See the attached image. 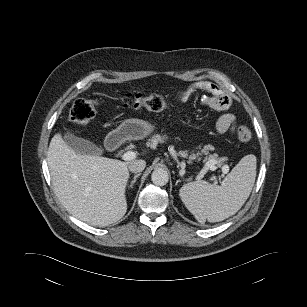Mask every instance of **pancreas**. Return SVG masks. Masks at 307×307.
Returning <instances> with one entry per match:
<instances>
[{"label": "pancreas", "mask_w": 307, "mask_h": 307, "mask_svg": "<svg viewBox=\"0 0 307 307\" xmlns=\"http://www.w3.org/2000/svg\"><path fill=\"white\" fill-rule=\"evenodd\" d=\"M166 139H167L166 136H161L159 134H156V135H153L152 138L149 140L150 142H148V145H150L152 147H155L158 143H164ZM211 149H212V147L210 145H206L201 150V152H197L196 154L192 153L191 155L188 156L186 151H179L178 155L180 157L188 158L189 159L188 163H191L192 160H195V159L201 160V156L204 154V155H207L204 158L205 162L208 163L210 161H216L215 165L216 164L218 166L223 165L224 162L227 160V158H225V157L218 158L217 154H210V155H208L209 150H211Z\"/></svg>", "instance_id": "cf45deb5"}]
</instances>
